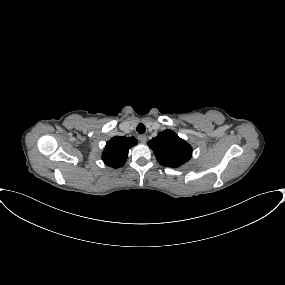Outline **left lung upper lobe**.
<instances>
[{"instance_id":"left-lung-upper-lobe-1","label":"left lung upper lobe","mask_w":285,"mask_h":285,"mask_svg":"<svg viewBox=\"0 0 285 285\" xmlns=\"http://www.w3.org/2000/svg\"><path fill=\"white\" fill-rule=\"evenodd\" d=\"M148 145L152 148L157 161L163 166L179 167L192 156L191 146L172 130L159 132Z\"/></svg>"}]
</instances>
